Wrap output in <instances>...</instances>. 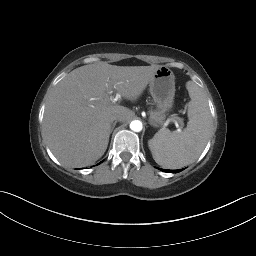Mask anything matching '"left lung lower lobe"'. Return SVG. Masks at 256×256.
Instances as JSON below:
<instances>
[{
  "mask_svg": "<svg viewBox=\"0 0 256 256\" xmlns=\"http://www.w3.org/2000/svg\"><path fill=\"white\" fill-rule=\"evenodd\" d=\"M164 172H170V173H176V172H180L181 170H166V169H161Z\"/></svg>",
  "mask_w": 256,
  "mask_h": 256,
  "instance_id": "left-lung-lower-lobe-1",
  "label": "left lung lower lobe"
}]
</instances>
